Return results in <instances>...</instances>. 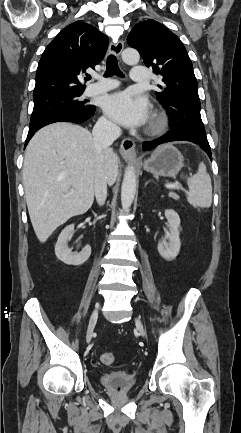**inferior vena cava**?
<instances>
[{
  "label": "inferior vena cava",
  "instance_id": "1",
  "mask_svg": "<svg viewBox=\"0 0 241 433\" xmlns=\"http://www.w3.org/2000/svg\"><path fill=\"white\" fill-rule=\"evenodd\" d=\"M120 135V127L107 120L98 121L92 130V147L97 158L94 171V192L99 205H103L107 198V181L103 171V150L112 145Z\"/></svg>",
  "mask_w": 241,
  "mask_h": 433
}]
</instances>
